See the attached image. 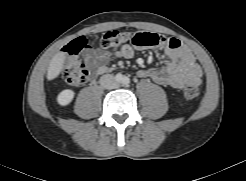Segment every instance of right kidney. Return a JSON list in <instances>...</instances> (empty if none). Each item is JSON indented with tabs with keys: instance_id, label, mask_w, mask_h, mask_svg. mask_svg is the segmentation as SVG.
<instances>
[{
	"instance_id": "1",
	"label": "right kidney",
	"mask_w": 246,
	"mask_h": 181,
	"mask_svg": "<svg viewBox=\"0 0 246 181\" xmlns=\"http://www.w3.org/2000/svg\"><path fill=\"white\" fill-rule=\"evenodd\" d=\"M74 91L70 89H65L61 91L57 96V102L61 106H66L71 103L74 98Z\"/></svg>"
}]
</instances>
